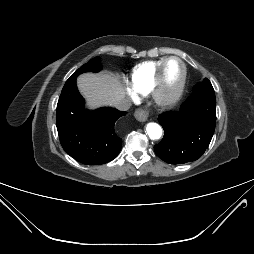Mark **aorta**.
Listing matches in <instances>:
<instances>
[{"label":"aorta","instance_id":"aorta-1","mask_svg":"<svg viewBox=\"0 0 254 254\" xmlns=\"http://www.w3.org/2000/svg\"><path fill=\"white\" fill-rule=\"evenodd\" d=\"M146 131L153 140H157L162 136V128L157 123H148Z\"/></svg>","mask_w":254,"mask_h":254}]
</instances>
